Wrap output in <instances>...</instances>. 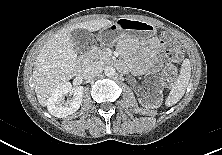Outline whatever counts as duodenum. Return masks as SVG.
Returning a JSON list of instances; mask_svg holds the SVG:
<instances>
[{"mask_svg": "<svg viewBox=\"0 0 222 155\" xmlns=\"http://www.w3.org/2000/svg\"><path fill=\"white\" fill-rule=\"evenodd\" d=\"M90 59V55L85 56L84 58L81 59L79 62L77 69H76V76L79 77L81 76L82 70L84 69L85 65Z\"/></svg>", "mask_w": 222, "mask_h": 155, "instance_id": "1", "label": "duodenum"}]
</instances>
